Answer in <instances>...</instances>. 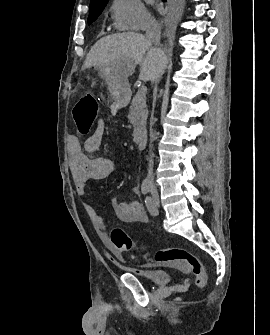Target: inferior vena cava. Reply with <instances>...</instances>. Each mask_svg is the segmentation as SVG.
Wrapping results in <instances>:
<instances>
[{"label":"inferior vena cava","instance_id":"1","mask_svg":"<svg viewBox=\"0 0 270 335\" xmlns=\"http://www.w3.org/2000/svg\"><path fill=\"white\" fill-rule=\"evenodd\" d=\"M145 32H146L147 40H150V42H152V44H155V46H160L161 30H160V26H159V24H157L156 20H146ZM161 76H162V74H160V76H157V78H155V80H153V82L155 84V88H154L155 96L157 94V84H158L159 78H161ZM150 126H151V128H150V138H151L150 148H152V142H153L152 126H153V122H151ZM152 158H153V154H150L149 169H148V175H147L149 185H154L153 160H152Z\"/></svg>","mask_w":270,"mask_h":335}]
</instances>
